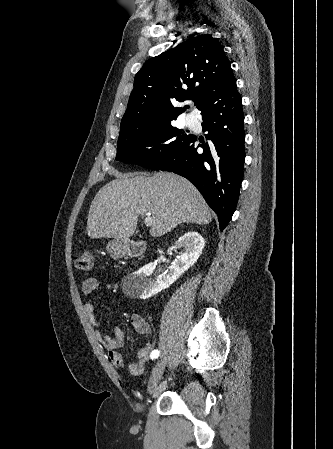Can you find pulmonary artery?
<instances>
[{"instance_id": "pulmonary-artery-1", "label": "pulmonary artery", "mask_w": 333, "mask_h": 449, "mask_svg": "<svg viewBox=\"0 0 333 449\" xmlns=\"http://www.w3.org/2000/svg\"><path fill=\"white\" fill-rule=\"evenodd\" d=\"M186 122H187V125H188V126H193L194 123H195L194 119L191 118V117H188L187 120H186Z\"/></svg>"}]
</instances>
